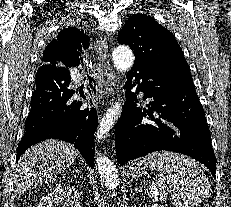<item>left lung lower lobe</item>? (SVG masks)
<instances>
[{
	"mask_svg": "<svg viewBox=\"0 0 231 207\" xmlns=\"http://www.w3.org/2000/svg\"><path fill=\"white\" fill-rule=\"evenodd\" d=\"M136 85L137 93L144 92V100L153 101L142 109L134 93L126 94L115 129L120 165L153 151L169 150L196 159L215 177L211 135L193 80H178L166 70L140 62L127 73L124 88L129 92Z\"/></svg>",
	"mask_w": 231,
	"mask_h": 207,
	"instance_id": "left-lung-lower-lobe-1",
	"label": "left lung lower lobe"
}]
</instances>
